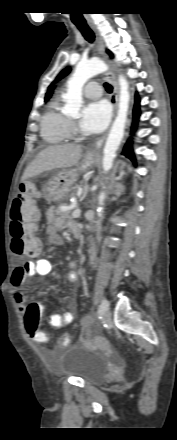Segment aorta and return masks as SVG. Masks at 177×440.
<instances>
[{
  "mask_svg": "<svg viewBox=\"0 0 177 440\" xmlns=\"http://www.w3.org/2000/svg\"><path fill=\"white\" fill-rule=\"evenodd\" d=\"M107 69V65L100 59L81 61L76 65L72 77L67 82V93L65 95L66 105L64 107L65 114L74 116L79 113L83 103L82 89L84 84L91 77ZM118 82L120 86L119 107L104 147L103 169L106 172L112 168L116 151L124 136L129 108L130 93L128 90V81L123 75H119ZM105 196V192L102 191L98 197L99 209H102Z\"/></svg>",
  "mask_w": 177,
  "mask_h": 440,
  "instance_id": "1",
  "label": "aorta"
}]
</instances>
